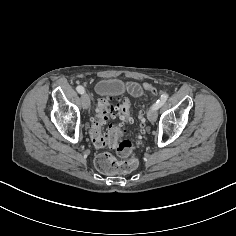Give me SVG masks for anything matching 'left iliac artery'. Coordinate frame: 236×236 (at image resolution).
Wrapping results in <instances>:
<instances>
[{"label":"left iliac artery","instance_id":"obj_1","mask_svg":"<svg viewBox=\"0 0 236 236\" xmlns=\"http://www.w3.org/2000/svg\"><path fill=\"white\" fill-rule=\"evenodd\" d=\"M167 99H168V94L167 93L162 94L160 99H158L157 102L153 105V108L157 110L166 102Z\"/></svg>","mask_w":236,"mask_h":236}]
</instances>
